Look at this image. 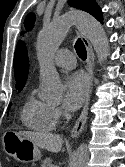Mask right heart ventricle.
I'll return each instance as SVG.
<instances>
[{"mask_svg": "<svg viewBox=\"0 0 125 167\" xmlns=\"http://www.w3.org/2000/svg\"><path fill=\"white\" fill-rule=\"evenodd\" d=\"M20 119L22 124L34 131L49 132L55 129L56 119L52 107L30 93L21 108Z\"/></svg>", "mask_w": 125, "mask_h": 167, "instance_id": "1", "label": "right heart ventricle"}]
</instances>
